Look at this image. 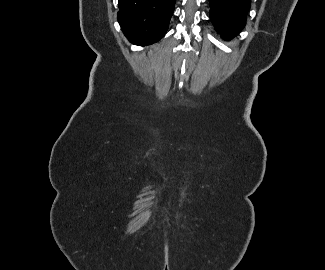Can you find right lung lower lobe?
Masks as SVG:
<instances>
[{"instance_id":"98d812e1","label":"right lung lower lobe","mask_w":325,"mask_h":270,"mask_svg":"<svg viewBox=\"0 0 325 270\" xmlns=\"http://www.w3.org/2000/svg\"><path fill=\"white\" fill-rule=\"evenodd\" d=\"M176 0H118V22L134 44L159 41L169 26Z\"/></svg>"}]
</instances>
